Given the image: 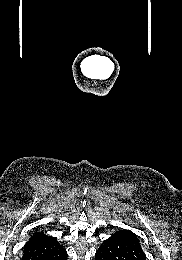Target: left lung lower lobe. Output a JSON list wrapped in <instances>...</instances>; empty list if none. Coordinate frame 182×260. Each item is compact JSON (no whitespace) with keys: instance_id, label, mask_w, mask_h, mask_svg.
I'll list each match as a JSON object with an SVG mask.
<instances>
[{"instance_id":"left-lung-lower-lobe-1","label":"left lung lower lobe","mask_w":182,"mask_h":260,"mask_svg":"<svg viewBox=\"0 0 182 260\" xmlns=\"http://www.w3.org/2000/svg\"><path fill=\"white\" fill-rule=\"evenodd\" d=\"M95 260H146V256L137 236L123 229L103 241L96 251Z\"/></svg>"}]
</instances>
